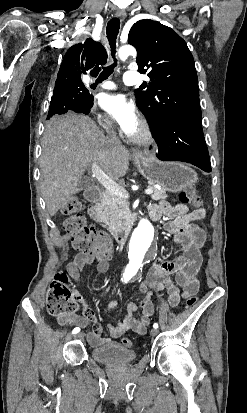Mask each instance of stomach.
I'll return each instance as SVG.
<instances>
[{
  "instance_id": "obj_1",
  "label": "stomach",
  "mask_w": 247,
  "mask_h": 413,
  "mask_svg": "<svg viewBox=\"0 0 247 413\" xmlns=\"http://www.w3.org/2000/svg\"><path fill=\"white\" fill-rule=\"evenodd\" d=\"M139 172L150 182L160 184L165 190L179 192L193 186L198 180L197 172L183 162H163L154 156H132Z\"/></svg>"
}]
</instances>
